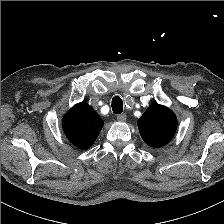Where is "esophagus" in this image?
Returning <instances> with one entry per match:
<instances>
[{"label":"esophagus","mask_w":224,"mask_h":224,"mask_svg":"<svg viewBox=\"0 0 224 224\" xmlns=\"http://www.w3.org/2000/svg\"><path fill=\"white\" fill-rule=\"evenodd\" d=\"M127 119V115L125 113L117 115V120L120 122H124Z\"/></svg>","instance_id":"1"}]
</instances>
